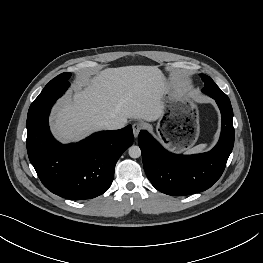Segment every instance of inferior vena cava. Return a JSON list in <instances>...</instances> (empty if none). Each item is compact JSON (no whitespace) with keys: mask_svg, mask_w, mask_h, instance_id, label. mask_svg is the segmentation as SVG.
I'll use <instances>...</instances> for the list:
<instances>
[{"mask_svg":"<svg viewBox=\"0 0 263 263\" xmlns=\"http://www.w3.org/2000/svg\"><path fill=\"white\" fill-rule=\"evenodd\" d=\"M104 127L109 130H116L124 127V124L117 120H108L104 123Z\"/></svg>","mask_w":263,"mask_h":263,"instance_id":"1","label":"inferior vena cava"}]
</instances>
